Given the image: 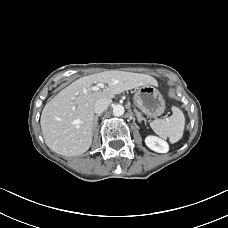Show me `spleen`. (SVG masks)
Wrapping results in <instances>:
<instances>
[{
	"label": "spleen",
	"instance_id": "1",
	"mask_svg": "<svg viewBox=\"0 0 228 228\" xmlns=\"http://www.w3.org/2000/svg\"><path fill=\"white\" fill-rule=\"evenodd\" d=\"M172 111L173 114L169 118L156 119L150 123V127L161 138H169L171 143H175L183 136L185 117L178 107H173Z\"/></svg>",
	"mask_w": 228,
	"mask_h": 228
}]
</instances>
